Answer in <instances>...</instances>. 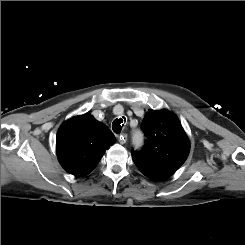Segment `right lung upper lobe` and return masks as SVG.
I'll list each match as a JSON object with an SVG mask.
<instances>
[{"instance_id":"right-lung-upper-lobe-1","label":"right lung upper lobe","mask_w":245,"mask_h":245,"mask_svg":"<svg viewBox=\"0 0 245 245\" xmlns=\"http://www.w3.org/2000/svg\"><path fill=\"white\" fill-rule=\"evenodd\" d=\"M115 136L90 114L64 122L56 136V151L61 166L75 176H85L98 164Z\"/></svg>"}]
</instances>
